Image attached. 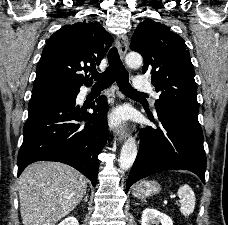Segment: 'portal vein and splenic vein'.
<instances>
[{"label":"portal vein and splenic vein","mask_w":228,"mask_h":225,"mask_svg":"<svg viewBox=\"0 0 228 225\" xmlns=\"http://www.w3.org/2000/svg\"><path fill=\"white\" fill-rule=\"evenodd\" d=\"M175 199H176V196L175 195H167V199H163L162 200V205L164 207H167L168 206V200H175Z\"/></svg>","instance_id":"portal-vein-and-splenic-vein-1"}]
</instances>
